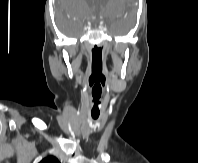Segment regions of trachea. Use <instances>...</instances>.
I'll return each mask as SVG.
<instances>
[{"label":"trachea","mask_w":198,"mask_h":163,"mask_svg":"<svg viewBox=\"0 0 198 163\" xmlns=\"http://www.w3.org/2000/svg\"><path fill=\"white\" fill-rule=\"evenodd\" d=\"M93 117V119H97L98 118V116H92Z\"/></svg>","instance_id":"1"}]
</instances>
